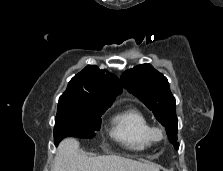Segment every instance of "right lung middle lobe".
<instances>
[{
    "label": "right lung middle lobe",
    "mask_w": 223,
    "mask_h": 171,
    "mask_svg": "<svg viewBox=\"0 0 223 171\" xmlns=\"http://www.w3.org/2000/svg\"><path fill=\"white\" fill-rule=\"evenodd\" d=\"M110 106L58 104L54 127V142L68 136L89 139L100 129L101 115Z\"/></svg>",
    "instance_id": "dd1d6c3e"
}]
</instances>
